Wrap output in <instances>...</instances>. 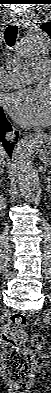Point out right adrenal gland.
Segmentation results:
<instances>
[{
	"mask_svg": "<svg viewBox=\"0 0 51 393\" xmlns=\"http://www.w3.org/2000/svg\"><path fill=\"white\" fill-rule=\"evenodd\" d=\"M2 173H3V171L1 170V176H2ZM2 179H3V178L1 177V180H0V182H2Z\"/></svg>",
	"mask_w": 51,
	"mask_h": 393,
	"instance_id": "1",
	"label": "right adrenal gland"
}]
</instances>
